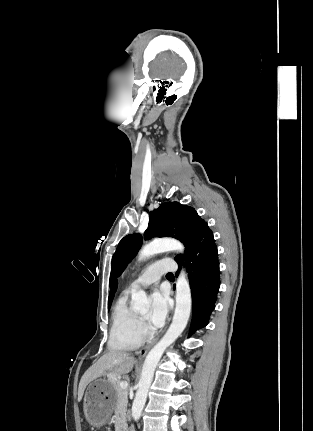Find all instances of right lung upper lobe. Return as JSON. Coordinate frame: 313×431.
Instances as JSON below:
<instances>
[{"label": "right lung upper lobe", "instance_id": "right-lung-upper-lobe-1", "mask_svg": "<svg viewBox=\"0 0 313 431\" xmlns=\"http://www.w3.org/2000/svg\"><path fill=\"white\" fill-rule=\"evenodd\" d=\"M116 289H117V281H115L113 283V286L111 288V291H110V294H109V299H108V305H111L112 300H113L114 295H115V292H116Z\"/></svg>", "mask_w": 313, "mask_h": 431}]
</instances>
